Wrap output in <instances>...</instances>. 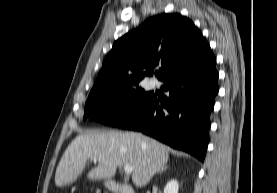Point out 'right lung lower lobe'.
Returning <instances> with one entry per match:
<instances>
[{
    "label": "right lung lower lobe",
    "mask_w": 277,
    "mask_h": 193,
    "mask_svg": "<svg viewBox=\"0 0 277 193\" xmlns=\"http://www.w3.org/2000/svg\"><path fill=\"white\" fill-rule=\"evenodd\" d=\"M216 59L211 51L162 81L169 97L150 100L118 127L141 131L204 161L209 141L210 112L218 93Z\"/></svg>",
    "instance_id": "98d812e1"
}]
</instances>
